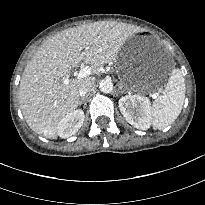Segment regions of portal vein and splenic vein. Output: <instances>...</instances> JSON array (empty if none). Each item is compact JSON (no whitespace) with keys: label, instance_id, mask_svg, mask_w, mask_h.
Listing matches in <instances>:
<instances>
[{"label":"portal vein and splenic vein","instance_id":"1","mask_svg":"<svg viewBox=\"0 0 205 205\" xmlns=\"http://www.w3.org/2000/svg\"><path fill=\"white\" fill-rule=\"evenodd\" d=\"M91 74H92V68L89 67V66H85V67L80 69V71H79V73L77 75V79H83V78H85V77H87V76H89ZM69 82H70V79H68V78H64L63 79V83L64 84H68ZM157 96H158L157 93H154L152 95L153 98H156Z\"/></svg>","mask_w":205,"mask_h":205}]
</instances>
